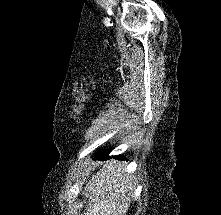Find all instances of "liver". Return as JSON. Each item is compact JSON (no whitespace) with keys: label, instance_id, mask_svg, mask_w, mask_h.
<instances>
[{"label":"liver","instance_id":"1","mask_svg":"<svg viewBox=\"0 0 221 215\" xmlns=\"http://www.w3.org/2000/svg\"><path fill=\"white\" fill-rule=\"evenodd\" d=\"M134 189L133 178L124 163L106 162L82 193L88 199L84 215H126Z\"/></svg>","mask_w":221,"mask_h":215}]
</instances>
